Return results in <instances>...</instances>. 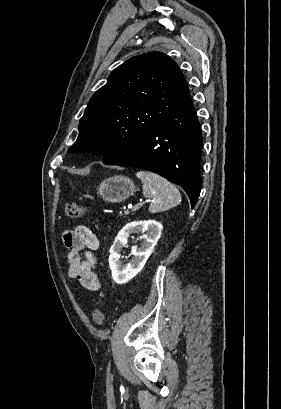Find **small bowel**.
<instances>
[{
    "mask_svg": "<svg viewBox=\"0 0 281 409\" xmlns=\"http://www.w3.org/2000/svg\"><path fill=\"white\" fill-rule=\"evenodd\" d=\"M63 243L68 249V277L88 290H98L100 280L94 252L99 248V240L96 234L87 226L77 225L64 232Z\"/></svg>",
    "mask_w": 281,
    "mask_h": 409,
    "instance_id": "1",
    "label": "small bowel"
}]
</instances>
